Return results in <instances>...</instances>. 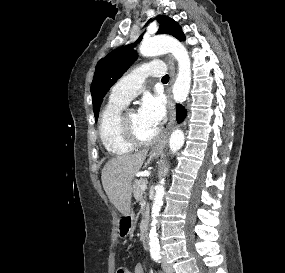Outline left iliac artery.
I'll use <instances>...</instances> for the list:
<instances>
[{
	"instance_id": "left-iliac-artery-1",
	"label": "left iliac artery",
	"mask_w": 285,
	"mask_h": 273,
	"mask_svg": "<svg viewBox=\"0 0 285 273\" xmlns=\"http://www.w3.org/2000/svg\"><path fill=\"white\" fill-rule=\"evenodd\" d=\"M153 259H154L156 262L160 263L161 256H158V255L153 256Z\"/></svg>"
}]
</instances>
